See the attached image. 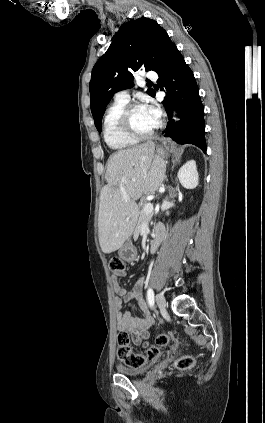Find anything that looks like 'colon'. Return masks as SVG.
Segmentation results:
<instances>
[{"mask_svg":"<svg viewBox=\"0 0 265 423\" xmlns=\"http://www.w3.org/2000/svg\"><path fill=\"white\" fill-rule=\"evenodd\" d=\"M110 270L114 273H119L124 270V262L119 257H112L109 261ZM169 344V335L162 333L156 336L154 344L148 347L142 353L133 352L130 343L129 335L125 331H121L117 338V357L129 368L144 367L148 361L156 359L163 348ZM194 358L190 355H185L177 359L175 368L177 370H187L194 365Z\"/></svg>","mask_w":265,"mask_h":423,"instance_id":"5ec220e1","label":"colon"}]
</instances>
